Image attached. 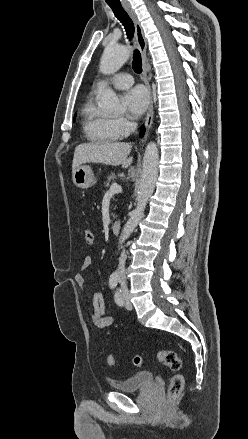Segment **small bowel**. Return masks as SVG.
Wrapping results in <instances>:
<instances>
[{
    "label": "small bowel",
    "mask_w": 248,
    "mask_h": 439,
    "mask_svg": "<svg viewBox=\"0 0 248 439\" xmlns=\"http://www.w3.org/2000/svg\"><path fill=\"white\" fill-rule=\"evenodd\" d=\"M92 265V259L90 257H85L80 271L75 275V282L80 287L83 288L85 284V278L83 272L87 270ZM93 304V314H92V322L98 328H106L109 327L113 323V318L111 316L106 315L105 313V302L103 295L99 292L94 293L92 297Z\"/></svg>",
    "instance_id": "1"
}]
</instances>
